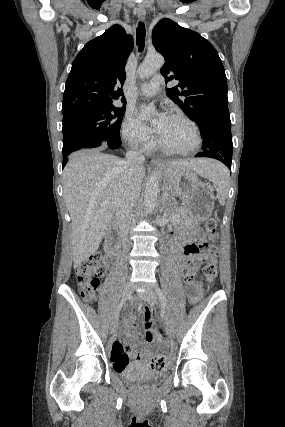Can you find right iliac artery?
Instances as JSON below:
<instances>
[{
	"label": "right iliac artery",
	"instance_id": "obj_1",
	"mask_svg": "<svg viewBox=\"0 0 285 427\" xmlns=\"http://www.w3.org/2000/svg\"><path fill=\"white\" fill-rule=\"evenodd\" d=\"M125 302H126V298L123 297L122 300L120 301L119 305H118L117 310H116V316L119 315V313H120L121 309L123 308Z\"/></svg>",
	"mask_w": 285,
	"mask_h": 427
}]
</instances>
